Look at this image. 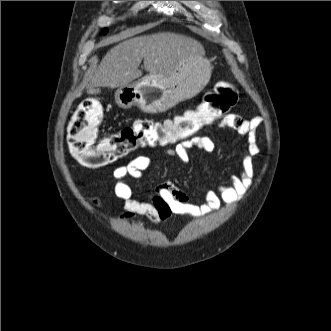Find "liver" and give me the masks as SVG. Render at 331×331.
I'll use <instances>...</instances> for the list:
<instances>
[{
    "label": "liver",
    "mask_w": 331,
    "mask_h": 331,
    "mask_svg": "<svg viewBox=\"0 0 331 331\" xmlns=\"http://www.w3.org/2000/svg\"><path fill=\"white\" fill-rule=\"evenodd\" d=\"M197 40L176 33L162 32L125 40L110 49L89 78L91 92L96 87L118 88L142 76L139 65L150 74L167 76L196 55H204Z\"/></svg>",
    "instance_id": "1"
}]
</instances>
